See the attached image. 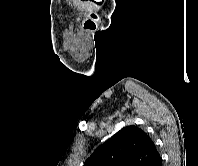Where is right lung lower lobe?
<instances>
[{
	"mask_svg": "<svg viewBox=\"0 0 198 166\" xmlns=\"http://www.w3.org/2000/svg\"><path fill=\"white\" fill-rule=\"evenodd\" d=\"M149 166H162L161 156L159 155Z\"/></svg>",
	"mask_w": 198,
	"mask_h": 166,
	"instance_id": "obj_1",
	"label": "right lung lower lobe"
}]
</instances>
